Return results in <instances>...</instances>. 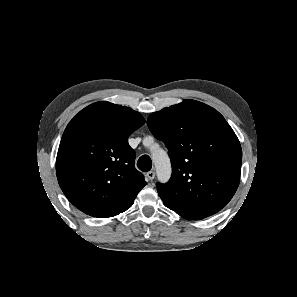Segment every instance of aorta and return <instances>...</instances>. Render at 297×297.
<instances>
[{
  "label": "aorta",
  "mask_w": 297,
  "mask_h": 297,
  "mask_svg": "<svg viewBox=\"0 0 297 297\" xmlns=\"http://www.w3.org/2000/svg\"><path fill=\"white\" fill-rule=\"evenodd\" d=\"M152 161L155 165L158 179L161 182H167L171 176V163L167 152L163 149H157L152 152Z\"/></svg>",
  "instance_id": "762f6f07"
}]
</instances>
